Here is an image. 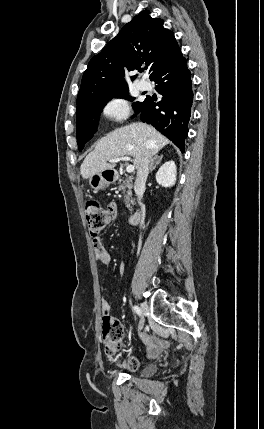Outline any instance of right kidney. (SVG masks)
<instances>
[{
  "mask_svg": "<svg viewBox=\"0 0 264 429\" xmlns=\"http://www.w3.org/2000/svg\"><path fill=\"white\" fill-rule=\"evenodd\" d=\"M176 173L175 162H165L156 173V181L163 187H172L176 182Z\"/></svg>",
  "mask_w": 264,
  "mask_h": 429,
  "instance_id": "1",
  "label": "right kidney"
}]
</instances>
